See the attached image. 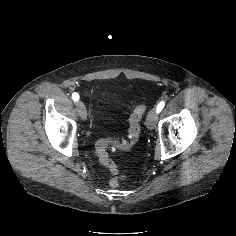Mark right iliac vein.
Wrapping results in <instances>:
<instances>
[{
	"label": "right iliac vein",
	"instance_id": "right-iliac-vein-1",
	"mask_svg": "<svg viewBox=\"0 0 236 236\" xmlns=\"http://www.w3.org/2000/svg\"><path fill=\"white\" fill-rule=\"evenodd\" d=\"M76 108L81 119L85 120L87 117V110L84 103L82 101H78L76 103Z\"/></svg>",
	"mask_w": 236,
	"mask_h": 236
}]
</instances>
